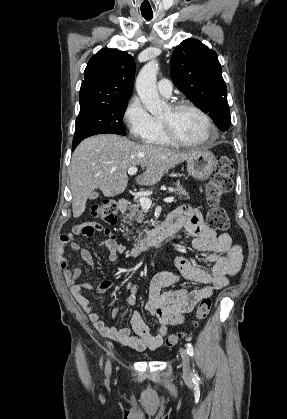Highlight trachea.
<instances>
[{"instance_id":"3493384b","label":"trachea","mask_w":287,"mask_h":419,"mask_svg":"<svg viewBox=\"0 0 287 419\" xmlns=\"http://www.w3.org/2000/svg\"><path fill=\"white\" fill-rule=\"evenodd\" d=\"M142 16L146 19V20H151L153 15H147V14H142Z\"/></svg>"}]
</instances>
